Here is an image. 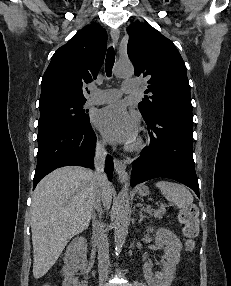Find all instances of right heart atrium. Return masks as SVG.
I'll list each match as a JSON object with an SVG mask.
<instances>
[{
  "instance_id": "1",
  "label": "right heart atrium",
  "mask_w": 231,
  "mask_h": 286,
  "mask_svg": "<svg viewBox=\"0 0 231 286\" xmlns=\"http://www.w3.org/2000/svg\"><path fill=\"white\" fill-rule=\"evenodd\" d=\"M98 145H99L100 147L104 146V141H103V140H99V141H98Z\"/></svg>"
}]
</instances>
